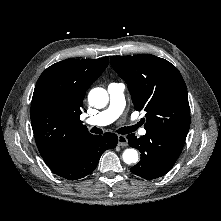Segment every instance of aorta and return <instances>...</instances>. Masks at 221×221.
<instances>
[{
  "label": "aorta",
  "mask_w": 221,
  "mask_h": 221,
  "mask_svg": "<svg viewBox=\"0 0 221 221\" xmlns=\"http://www.w3.org/2000/svg\"><path fill=\"white\" fill-rule=\"evenodd\" d=\"M109 101V96L108 93L105 89L97 87L92 89L89 92L88 95V102L91 106H94L96 108H103L107 105ZM123 161L126 164H135L138 161V152L133 149V148H129L126 149L123 154Z\"/></svg>",
  "instance_id": "1"
}]
</instances>
